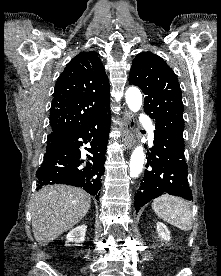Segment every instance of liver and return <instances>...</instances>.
<instances>
[{"instance_id":"1","label":"liver","mask_w":221,"mask_h":276,"mask_svg":"<svg viewBox=\"0 0 221 276\" xmlns=\"http://www.w3.org/2000/svg\"><path fill=\"white\" fill-rule=\"evenodd\" d=\"M91 197L83 189L51 185L40 189L31 203L32 231L45 245L79 223L90 208Z\"/></svg>"}]
</instances>
